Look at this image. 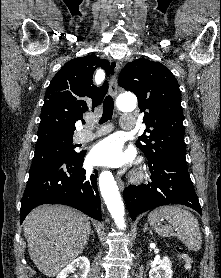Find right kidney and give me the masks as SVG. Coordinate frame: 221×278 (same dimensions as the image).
Listing matches in <instances>:
<instances>
[{"mask_svg":"<svg viewBox=\"0 0 221 278\" xmlns=\"http://www.w3.org/2000/svg\"><path fill=\"white\" fill-rule=\"evenodd\" d=\"M78 269L75 278H87L90 270V262L87 257H79L67 265L56 278H68L70 273H74Z\"/></svg>","mask_w":221,"mask_h":278,"instance_id":"ca27d5eb","label":"right kidney"}]
</instances>
